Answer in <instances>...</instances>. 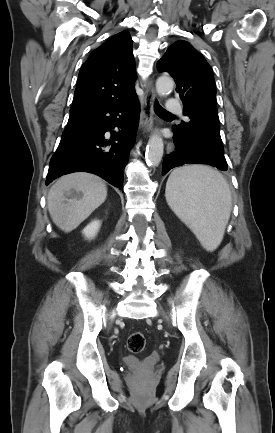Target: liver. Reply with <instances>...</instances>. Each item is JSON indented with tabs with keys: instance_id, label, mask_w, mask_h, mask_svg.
Wrapping results in <instances>:
<instances>
[{
	"instance_id": "1",
	"label": "liver",
	"mask_w": 275,
	"mask_h": 433,
	"mask_svg": "<svg viewBox=\"0 0 275 433\" xmlns=\"http://www.w3.org/2000/svg\"><path fill=\"white\" fill-rule=\"evenodd\" d=\"M106 197L107 187L101 178L78 172L57 180L49 190L47 206L56 226L68 233L87 219Z\"/></svg>"
}]
</instances>
